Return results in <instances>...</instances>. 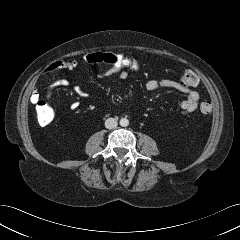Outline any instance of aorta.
<instances>
[{"instance_id":"obj_1","label":"aorta","mask_w":240,"mask_h":240,"mask_svg":"<svg viewBox=\"0 0 240 240\" xmlns=\"http://www.w3.org/2000/svg\"><path fill=\"white\" fill-rule=\"evenodd\" d=\"M120 125H121L122 127H127V126L129 125V120H128L127 118H122V119L120 120Z\"/></svg>"}]
</instances>
